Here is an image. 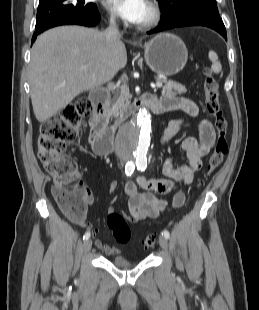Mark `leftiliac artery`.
I'll use <instances>...</instances> for the list:
<instances>
[{
    "instance_id": "44dca946",
    "label": "left iliac artery",
    "mask_w": 259,
    "mask_h": 310,
    "mask_svg": "<svg viewBox=\"0 0 259 310\" xmlns=\"http://www.w3.org/2000/svg\"><path fill=\"white\" fill-rule=\"evenodd\" d=\"M136 165H137V169L138 170H140V171H144L145 169H146V167H147V161L146 162H144V161H137L136 162ZM163 235L167 238V239H169V237H170V234H169V232L167 231V230H164L163 231Z\"/></svg>"
}]
</instances>
